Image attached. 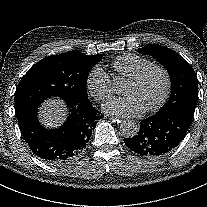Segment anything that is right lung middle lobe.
I'll list each match as a JSON object with an SVG mask.
<instances>
[{
	"label": "right lung middle lobe",
	"instance_id": "dd1d6c3e",
	"mask_svg": "<svg viewBox=\"0 0 207 207\" xmlns=\"http://www.w3.org/2000/svg\"><path fill=\"white\" fill-rule=\"evenodd\" d=\"M102 57L70 51L40 60L28 70L16 88L15 113L37 107L55 96L67 103L89 101L86 90L88 75Z\"/></svg>",
	"mask_w": 207,
	"mask_h": 207
}]
</instances>
